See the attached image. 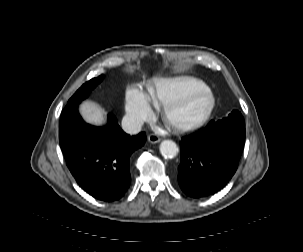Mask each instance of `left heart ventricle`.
<instances>
[{
    "label": "left heart ventricle",
    "instance_id": "left-heart-ventricle-1",
    "mask_svg": "<svg viewBox=\"0 0 303 252\" xmlns=\"http://www.w3.org/2000/svg\"><path fill=\"white\" fill-rule=\"evenodd\" d=\"M201 109V102L195 101L192 104L178 110L175 114L177 120H186L196 116Z\"/></svg>",
    "mask_w": 303,
    "mask_h": 252
}]
</instances>
